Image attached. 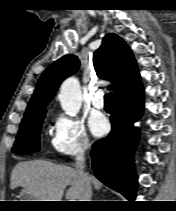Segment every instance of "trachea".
I'll return each mask as SVG.
<instances>
[{
	"label": "trachea",
	"mask_w": 176,
	"mask_h": 211,
	"mask_svg": "<svg viewBox=\"0 0 176 211\" xmlns=\"http://www.w3.org/2000/svg\"><path fill=\"white\" fill-rule=\"evenodd\" d=\"M105 101L106 102H112V93L111 92L110 93H107L105 95Z\"/></svg>",
	"instance_id": "1"
}]
</instances>
